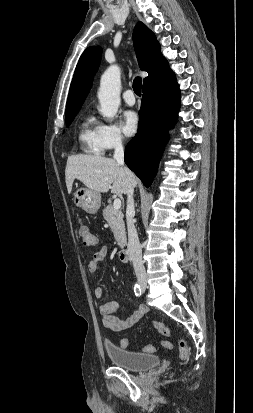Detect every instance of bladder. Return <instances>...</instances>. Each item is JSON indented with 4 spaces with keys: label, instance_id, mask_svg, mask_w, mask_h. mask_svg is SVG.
<instances>
[{
    "label": "bladder",
    "instance_id": "bladder-1",
    "mask_svg": "<svg viewBox=\"0 0 253 413\" xmlns=\"http://www.w3.org/2000/svg\"><path fill=\"white\" fill-rule=\"evenodd\" d=\"M104 349L112 364L127 370L143 371L160 364L157 355L130 351L110 342L105 343Z\"/></svg>",
    "mask_w": 253,
    "mask_h": 413
}]
</instances>
